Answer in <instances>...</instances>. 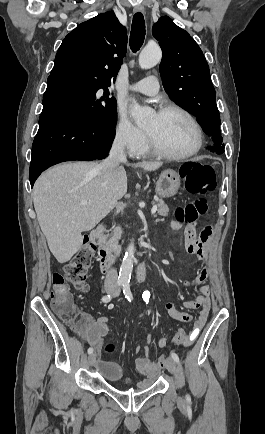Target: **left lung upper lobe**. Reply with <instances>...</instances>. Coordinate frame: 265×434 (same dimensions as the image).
I'll return each mask as SVG.
<instances>
[{"mask_svg": "<svg viewBox=\"0 0 265 434\" xmlns=\"http://www.w3.org/2000/svg\"><path fill=\"white\" fill-rule=\"evenodd\" d=\"M152 33L162 48L159 69L166 93L197 117L204 132L211 136L214 148L223 149L215 89L200 47L167 16L154 24Z\"/></svg>", "mask_w": 265, "mask_h": 434, "instance_id": "5c2ea615", "label": "left lung upper lobe"}]
</instances>
